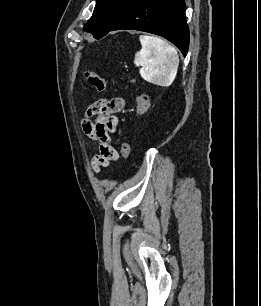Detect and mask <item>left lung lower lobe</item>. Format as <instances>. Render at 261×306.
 <instances>
[{"label": "left lung lower lobe", "instance_id": "left-lung-lower-lobe-1", "mask_svg": "<svg viewBox=\"0 0 261 306\" xmlns=\"http://www.w3.org/2000/svg\"><path fill=\"white\" fill-rule=\"evenodd\" d=\"M185 6L184 0H133L109 31L134 29L157 34L175 44L186 56L189 29Z\"/></svg>", "mask_w": 261, "mask_h": 306}]
</instances>
